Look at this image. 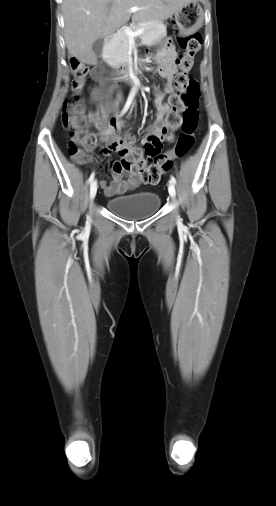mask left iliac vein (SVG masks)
I'll list each match as a JSON object with an SVG mask.
<instances>
[{
	"mask_svg": "<svg viewBox=\"0 0 276 506\" xmlns=\"http://www.w3.org/2000/svg\"><path fill=\"white\" fill-rule=\"evenodd\" d=\"M168 191H169V194H170L171 198L174 199L175 194H176V190H175V187H174L173 183H171V182L168 185Z\"/></svg>",
	"mask_w": 276,
	"mask_h": 506,
	"instance_id": "1",
	"label": "left iliac vein"
}]
</instances>
